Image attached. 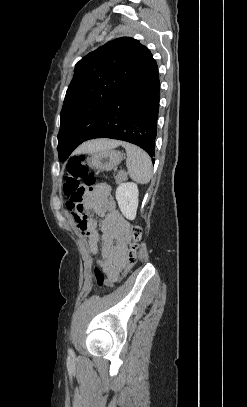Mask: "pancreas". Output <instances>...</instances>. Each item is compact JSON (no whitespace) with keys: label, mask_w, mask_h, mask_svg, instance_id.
<instances>
[{"label":"pancreas","mask_w":247,"mask_h":407,"mask_svg":"<svg viewBox=\"0 0 247 407\" xmlns=\"http://www.w3.org/2000/svg\"><path fill=\"white\" fill-rule=\"evenodd\" d=\"M127 179V174L123 171H120L116 176H115V181L116 183H120L123 180Z\"/></svg>","instance_id":"cf45deb5"}]
</instances>
